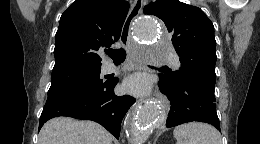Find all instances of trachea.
Instances as JSON below:
<instances>
[{
	"label": "trachea",
	"mask_w": 260,
	"mask_h": 144,
	"mask_svg": "<svg viewBox=\"0 0 260 144\" xmlns=\"http://www.w3.org/2000/svg\"><path fill=\"white\" fill-rule=\"evenodd\" d=\"M106 53L113 59L114 63H121L126 59V52L123 48L117 50L110 49Z\"/></svg>",
	"instance_id": "obj_1"
}]
</instances>
